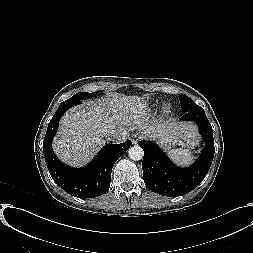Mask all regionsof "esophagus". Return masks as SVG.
<instances>
[{"instance_id": "1", "label": "esophagus", "mask_w": 253, "mask_h": 253, "mask_svg": "<svg viewBox=\"0 0 253 253\" xmlns=\"http://www.w3.org/2000/svg\"><path fill=\"white\" fill-rule=\"evenodd\" d=\"M140 138H141L140 135L136 133L131 136V141L133 144H137Z\"/></svg>"}]
</instances>
